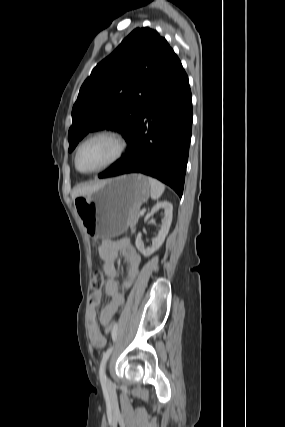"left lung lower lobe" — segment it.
I'll list each match as a JSON object with an SVG mask.
<instances>
[{
  "mask_svg": "<svg viewBox=\"0 0 285 427\" xmlns=\"http://www.w3.org/2000/svg\"><path fill=\"white\" fill-rule=\"evenodd\" d=\"M147 118L148 122H144ZM192 131V96L187 74L172 51L153 84L128 150L99 178L143 173L169 185L181 197Z\"/></svg>",
  "mask_w": 285,
  "mask_h": 427,
  "instance_id": "obj_1",
  "label": "left lung lower lobe"
}]
</instances>
